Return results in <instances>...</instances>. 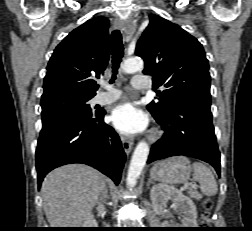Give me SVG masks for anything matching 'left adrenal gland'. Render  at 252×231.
I'll return each mask as SVG.
<instances>
[{
	"instance_id": "a2214340",
	"label": "left adrenal gland",
	"mask_w": 252,
	"mask_h": 231,
	"mask_svg": "<svg viewBox=\"0 0 252 231\" xmlns=\"http://www.w3.org/2000/svg\"><path fill=\"white\" fill-rule=\"evenodd\" d=\"M152 183H153L152 180L149 179V180H148V183H147V187L149 188L150 184H152Z\"/></svg>"
}]
</instances>
